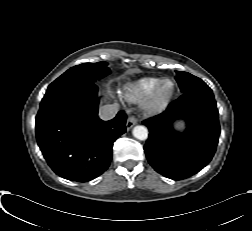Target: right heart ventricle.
I'll list each match as a JSON object with an SVG mask.
<instances>
[{
  "label": "right heart ventricle",
  "mask_w": 252,
  "mask_h": 231,
  "mask_svg": "<svg viewBox=\"0 0 252 231\" xmlns=\"http://www.w3.org/2000/svg\"><path fill=\"white\" fill-rule=\"evenodd\" d=\"M162 78L143 77L127 84L123 90V97L132 103H138L149 97Z\"/></svg>",
  "instance_id": "1"
}]
</instances>
